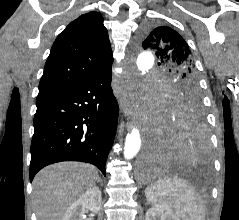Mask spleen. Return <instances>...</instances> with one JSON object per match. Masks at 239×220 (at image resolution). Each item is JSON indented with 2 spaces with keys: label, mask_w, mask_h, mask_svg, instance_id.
Segmentation results:
<instances>
[{
  "label": "spleen",
  "mask_w": 239,
  "mask_h": 220,
  "mask_svg": "<svg viewBox=\"0 0 239 220\" xmlns=\"http://www.w3.org/2000/svg\"><path fill=\"white\" fill-rule=\"evenodd\" d=\"M145 196L156 208L172 212L182 220H205L202 200L183 179L159 178L147 186Z\"/></svg>",
  "instance_id": "1"
}]
</instances>
